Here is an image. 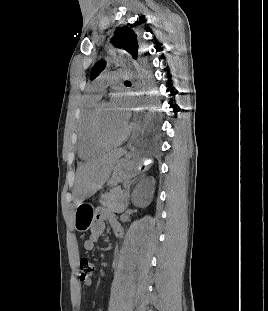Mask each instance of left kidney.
<instances>
[{
	"label": "left kidney",
	"mask_w": 268,
	"mask_h": 311,
	"mask_svg": "<svg viewBox=\"0 0 268 311\" xmlns=\"http://www.w3.org/2000/svg\"><path fill=\"white\" fill-rule=\"evenodd\" d=\"M154 179L144 178L136 187L133 193V204L136 207H146L150 204L154 194Z\"/></svg>",
	"instance_id": "obj_1"
}]
</instances>
